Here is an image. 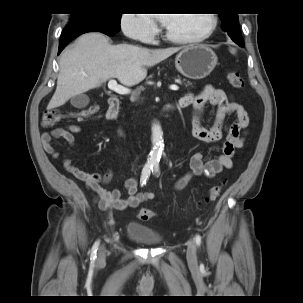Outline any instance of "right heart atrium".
<instances>
[{
  "label": "right heart atrium",
  "mask_w": 303,
  "mask_h": 303,
  "mask_svg": "<svg viewBox=\"0 0 303 303\" xmlns=\"http://www.w3.org/2000/svg\"><path fill=\"white\" fill-rule=\"evenodd\" d=\"M120 28L126 36L143 43L150 42L155 31L152 21L142 14H124Z\"/></svg>",
  "instance_id": "obj_1"
}]
</instances>
